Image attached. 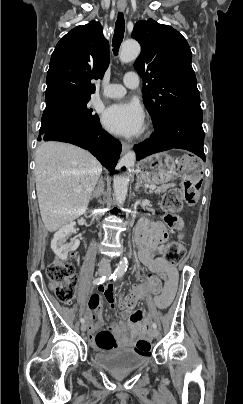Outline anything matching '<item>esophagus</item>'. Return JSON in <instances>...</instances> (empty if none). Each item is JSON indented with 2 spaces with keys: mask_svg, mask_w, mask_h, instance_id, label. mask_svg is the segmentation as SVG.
Returning a JSON list of instances; mask_svg holds the SVG:
<instances>
[{
  "mask_svg": "<svg viewBox=\"0 0 243 404\" xmlns=\"http://www.w3.org/2000/svg\"><path fill=\"white\" fill-rule=\"evenodd\" d=\"M119 10H124L125 7H118ZM132 147L131 144L127 143V142H122V151L123 152H127L128 150H130V148Z\"/></svg>",
  "mask_w": 243,
  "mask_h": 404,
  "instance_id": "obj_1",
  "label": "esophagus"
}]
</instances>
